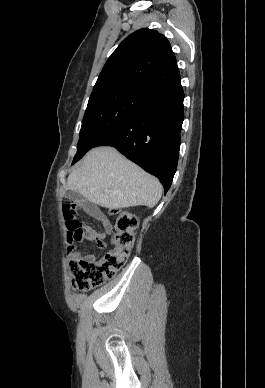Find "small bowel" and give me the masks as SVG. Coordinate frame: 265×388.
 <instances>
[{
	"instance_id": "c3829d8e",
	"label": "small bowel",
	"mask_w": 265,
	"mask_h": 388,
	"mask_svg": "<svg viewBox=\"0 0 265 388\" xmlns=\"http://www.w3.org/2000/svg\"><path fill=\"white\" fill-rule=\"evenodd\" d=\"M86 210L91 217L100 221L104 228V232L102 233L97 232L91 228H87L89 233V236L87 239L91 241H95L99 248H105L106 247L105 235L106 233H109L112 231V224L109 221V219L98 208L90 206V207H87ZM71 258H82L87 261H95L94 255L88 254L81 257L79 252L75 250L72 251Z\"/></svg>"
}]
</instances>
